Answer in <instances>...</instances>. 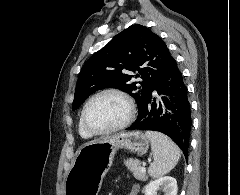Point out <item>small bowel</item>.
Listing matches in <instances>:
<instances>
[{
    "label": "small bowel",
    "instance_id": "1",
    "mask_svg": "<svg viewBox=\"0 0 240 195\" xmlns=\"http://www.w3.org/2000/svg\"><path fill=\"white\" fill-rule=\"evenodd\" d=\"M137 192H138V187H134L132 192L129 193V195H137Z\"/></svg>",
    "mask_w": 240,
    "mask_h": 195
}]
</instances>
